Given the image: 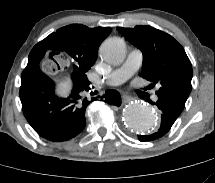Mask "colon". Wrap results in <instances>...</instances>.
I'll return each mask as SVG.
<instances>
[{
  "mask_svg": "<svg viewBox=\"0 0 215 183\" xmlns=\"http://www.w3.org/2000/svg\"><path fill=\"white\" fill-rule=\"evenodd\" d=\"M50 65H51L52 67H56V66L59 65V61L54 59V60L50 61Z\"/></svg>",
  "mask_w": 215,
  "mask_h": 183,
  "instance_id": "5ec220e1",
  "label": "colon"
}]
</instances>
